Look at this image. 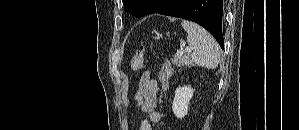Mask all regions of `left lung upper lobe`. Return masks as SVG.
I'll list each match as a JSON object with an SVG mask.
<instances>
[{"mask_svg":"<svg viewBox=\"0 0 299 130\" xmlns=\"http://www.w3.org/2000/svg\"><path fill=\"white\" fill-rule=\"evenodd\" d=\"M154 0H123L124 9L134 16L144 15Z\"/></svg>","mask_w":299,"mask_h":130,"instance_id":"obj_1","label":"left lung upper lobe"}]
</instances>
